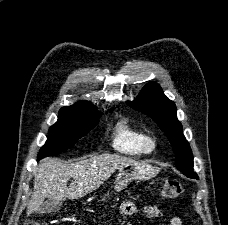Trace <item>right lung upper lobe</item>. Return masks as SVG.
I'll return each mask as SVG.
<instances>
[{
    "instance_id": "1",
    "label": "right lung upper lobe",
    "mask_w": 228,
    "mask_h": 225,
    "mask_svg": "<svg viewBox=\"0 0 228 225\" xmlns=\"http://www.w3.org/2000/svg\"><path fill=\"white\" fill-rule=\"evenodd\" d=\"M74 105H77V106H86V107H93V106H91V105L89 104V102H87V101H79V102H77V103L74 104Z\"/></svg>"
}]
</instances>
